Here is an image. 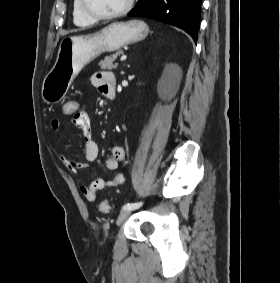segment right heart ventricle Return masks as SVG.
<instances>
[{
    "label": "right heart ventricle",
    "instance_id": "right-heart-ventricle-1",
    "mask_svg": "<svg viewBox=\"0 0 280 283\" xmlns=\"http://www.w3.org/2000/svg\"><path fill=\"white\" fill-rule=\"evenodd\" d=\"M73 22L81 27L92 25L95 22L84 13L80 0H73Z\"/></svg>",
    "mask_w": 280,
    "mask_h": 283
}]
</instances>
